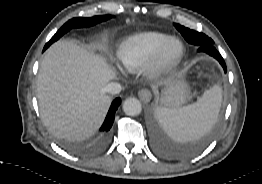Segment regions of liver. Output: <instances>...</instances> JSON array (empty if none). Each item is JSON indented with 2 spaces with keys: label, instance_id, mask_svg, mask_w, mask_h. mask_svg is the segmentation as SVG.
Wrapping results in <instances>:
<instances>
[{
  "label": "liver",
  "instance_id": "liver-1",
  "mask_svg": "<svg viewBox=\"0 0 262 184\" xmlns=\"http://www.w3.org/2000/svg\"><path fill=\"white\" fill-rule=\"evenodd\" d=\"M115 76L103 58L67 40L54 43L37 77L44 125L54 136L67 140L93 135L110 106L105 87Z\"/></svg>",
  "mask_w": 262,
  "mask_h": 184
}]
</instances>
